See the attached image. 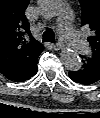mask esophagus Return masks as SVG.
Returning a JSON list of instances; mask_svg holds the SVG:
<instances>
[{
  "label": "esophagus",
  "mask_w": 100,
  "mask_h": 118,
  "mask_svg": "<svg viewBox=\"0 0 100 118\" xmlns=\"http://www.w3.org/2000/svg\"><path fill=\"white\" fill-rule=\"evenodd\" d=\"M51 47L55 50H60L63 47V45L60 43H52Z\"/></svg>",
  "instance_id": "obj_1"
}]
</instances>
